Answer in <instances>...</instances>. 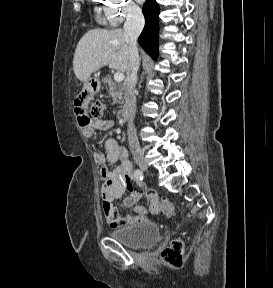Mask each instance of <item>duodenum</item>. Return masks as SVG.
Listing matches in <instances>:
<instances>
[{
    "label": "duodenum",
    "instance_id": "duodenum-1",
    "mask_svg": "<svg viewBox=\"0 0 273 288\" xmlns=\"http://www.w3.org/2000/svg\"><path fill=\"white\" fill-rule=\"evenodd\" d=\"M117 119L121 123H125L127 121V113L124 109L117 110Z\"/></svg>",
    "mask_w": 273,
    "mask_h": 288
}]
</instances>
